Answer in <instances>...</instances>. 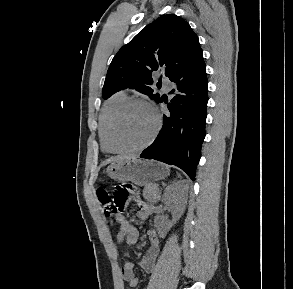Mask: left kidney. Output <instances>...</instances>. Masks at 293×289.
Returning a JSON list of instances; mask_svg holds the SVG:
<instances>
[{"label":"left kidney","instance_id":"1","mask_svg":"<svg viewBox=\"0 0 293 289\" xmlns=\"http://www.w3.org/2000/svg\"><path fill=\"white\" fill-rule=\"evenodd\" d=\"M187 189L186 180H179L167 186L162 201L171 209L173 219L163 228H159L162 237L165 236L166 230L170 229L183 214L187 203Z\"/></svg>","mask_w":293,"mask_h":289}]
</instances>
